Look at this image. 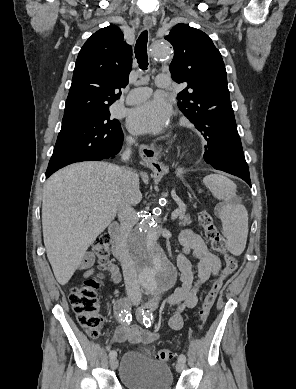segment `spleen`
I'll use <instances>...</instances> for the list:
<instances>
[{"mask_svg":"<svg viewBox=\"0 0 296 389\" xmlns=\"http://www.w3.org/2000/svg\"><path fill=\"white\" fill-rule=\"evenodd\" d=\"M203 183L215 198L224 202L220 219L228 250L235 256L242 254L248 236V213L236 196L235 183L220 174L207 175Z\"/></svg>","mask_w":296,"mask_h":389,"instance_id":"1","label":"spleen"}]
</instances>
